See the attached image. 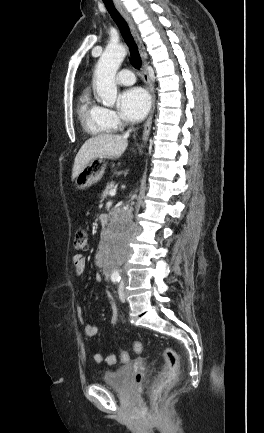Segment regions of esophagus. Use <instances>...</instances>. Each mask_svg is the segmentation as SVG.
<instances>
[{
	"mask_svg": "<svg viewBox=\"0 0 264 433\" xmlns=\"http://www.w3.org/2000/svg\"><path fill=\"white\" fill-rule=\"evenodd\" d=\"M115 6L118 9V11L121 13V15L124 17V19L126 20L130 31L136 41V44L138 46L141 58L143 60V69H142V74H143V79L146 83V85L148 86V89L150 91V95H151V111L149 114V117L147 119V121L145 122L144 125V130H143V135H142V140L143 142L147 141L149 134H150V130H151V125H152V118H153V114H154V110H155V92H154V86L149 78L147 69H146V63H147V53L145 51L144 45L141 41V38L139 36L138 30L136 28V25L134 24V21L132 19V17L130 16V14L128 13V11L126 10V8L124 7V5L118 1V0H114Z\"/></svg>",
	"mask_w": 264,
	"mask_h": 433,
	"instance_id": "obj_1",
	"label": "esophagus"
}]
</instances>
